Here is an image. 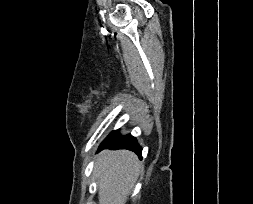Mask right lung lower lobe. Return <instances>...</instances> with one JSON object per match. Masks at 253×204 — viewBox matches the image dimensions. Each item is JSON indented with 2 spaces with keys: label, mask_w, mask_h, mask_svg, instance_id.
Instances as JSON below:
<instances>
[{
  "label": "right lung lower lobe",
  "mask_w": 253,
  "mask_h": 204,
  "mask_svg": "<svg viewBox=\"0 0 253 204\" xmlns=\"http://www.w3.org/2000/svg\"><path fill=\"white\" fill-rule=\"evenodd\" d=\"M109 149H128L134 151L141 158V147L136 138L131 135L120 136L119 130L111 132L107 138L100 144L99 150Z\"/></svg>",
  "instance_id": "right-lung-lower-lobe-1"
}]
</instances>
